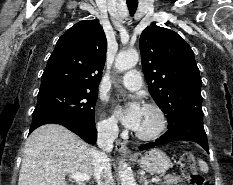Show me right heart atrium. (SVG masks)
<instances>
[{"label":"right heart atrium","mask_w":233,"mask_h":185,"mask_svg":"<svg viewBox=\"0 0 233 185\" xmlns=\"http://www.w3.org/2000/svg\"><path fill=\"white\" fill-rule=\"evenodd\" d=\"M99 133L107 137H114L118 134V125L113 117L102 116L97 124Z\"/></svg>","instance_id":"d8ad5b80"}]
</instances>
